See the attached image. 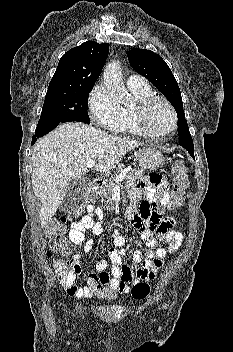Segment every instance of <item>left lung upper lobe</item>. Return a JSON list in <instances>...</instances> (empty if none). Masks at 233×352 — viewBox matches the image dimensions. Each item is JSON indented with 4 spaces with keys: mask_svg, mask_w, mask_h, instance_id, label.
<instances>
[{
    "mask_svg": "<svg viewBox=\"0 0 233 352\" xmlns=\"http://www.w3.org/2000/svg\"><path fill=\"white\" fill-rule=\"evenodd\" d=\"M132 68L146 77L175 107L178 117L179 145L194 150L191 134L185 119L178 83L165 61L153 51L132 49L127 54Z\"/></svg>",
    "mask_w": 233,
    "mask_h": 352,
    "instance_id": "obj_1",
    "label": "left lung upper lobe"
}]
</instances>
